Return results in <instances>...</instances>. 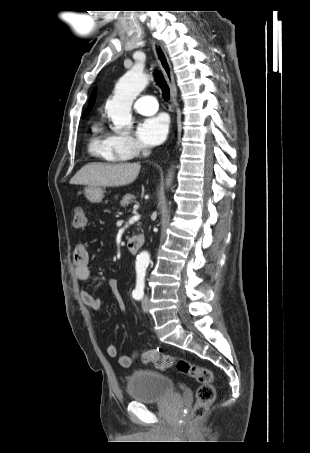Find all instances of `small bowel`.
<instances>
[{
    "mask_svg": "<svg viewBox=\"0 0 310 453\" xmlns=\"http://www.w3.org/2000/svg\"><path fill=\"white\" fill-rule=\"evenodd\" d=\"M73 265L74 274L78 281L83 283H89L92 281V274L89 268V252L84 244H77L73 251ZM108 289L116 300L120 310L125 309L124 299L119 289L118 278L111 277L107 281ZM81 298L84 303L94 310H100L102 308V301L97 296L91 294L87 290L81 291ZM106 353L111 358H117L118 364L124 368L130 367L133 362L137 359L138 354H118L117 348L114 344L107 343L105 345Z\"/></svg>",
    "mask_w": 310,
    "mask_h": 453,
    "instance_id": "small-bowel-1",
    "label": "small bowel"
}]
</instances>
